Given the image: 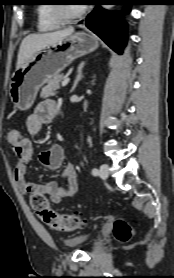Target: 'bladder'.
Here are the masks:
<instances>
[{
    "mask_svg": "<svg viewBox=\"0 0 174 278\" xmlns=\"http://www.w3.org/2000/svg\"><path fill=\"white\" fill-rule=\"evenodd\" d=\"M91 234H79L64 240V244L68 247H77L85 244L91 239Z\"/></svg>",
    "mask_w": 174,
    "mask_h": 278,
    "instance_id": "obj_1",
    "label": "bladder"
}]
</instances>
